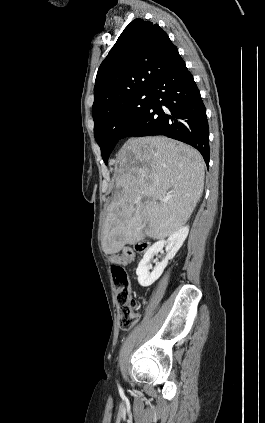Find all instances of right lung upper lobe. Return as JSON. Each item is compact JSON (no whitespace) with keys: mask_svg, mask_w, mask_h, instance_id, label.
<instances>
[{"mask_svg":"<svg viewBox=\"0 0 265 423\" xmlns=\"http://www.w3.org/2000/svg\"><path fill=\"white\" fill-rule=\"evenodd\" d=\"M177 54L176 46L160 26L141 18L133 20L98 69L92 107L94 121L121 100L150 90Z\"/></svg>","mask_w":265,"mask_h":423,"instance_id":"right-lung-upper-lobe-1","label":"right lung upper lobe"}]
</instances>
